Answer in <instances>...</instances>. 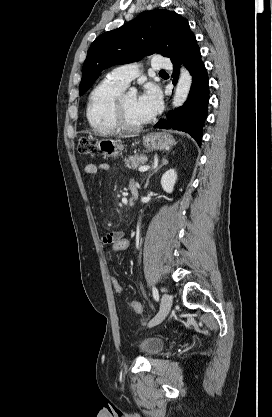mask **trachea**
<instances>
[{"mask_svg":"<svg viewBox=\"0 0 272 417\" xmlns=\"http://www.w3.org/2000/svg\"><path fill=\"white\" fill-rule=\"evenodd\" d=\"M160 73H166L164 70H161Z\"/></svg>","mask_w":272,"mask_h":417,"instance_id":"1","label":"trachea"}]
</instances>
